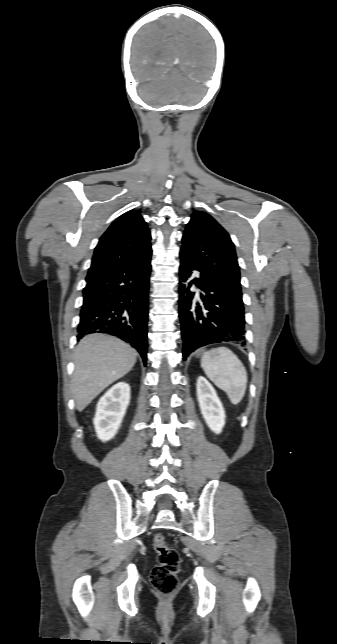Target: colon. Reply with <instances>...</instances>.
Returning a JSON list of instances; mask_svg holds the SVG:
<instances>
[{
	"label": "colon",
	"instance_id": "colon-1",
	"mask_svg": "<svg viewBox=\"0 0 337 644\" xmlns=\"http://www.w3.org/2000/svg\"><path fill=\"white\" fill-rule=\"evenodd\" d=\"M153 546L157 553V565L151 571V583L161 595L169 596L178 588L180 556L174 548L167 545L165 537L160 533L154 535Z\"/></svg>",
	"mask_w": 337,
	"mask_h": 644
}]
</instances>
